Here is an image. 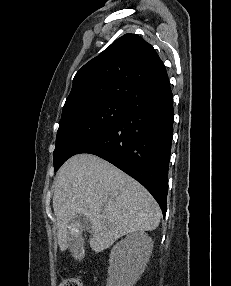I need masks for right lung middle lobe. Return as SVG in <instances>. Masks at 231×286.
Instances as JSON below:
<instances>
[{"label":"right lung middle lobe","instance_id":"obj_1","mask_svg":"<svg viewBox=\"0 0 231 286\" xmlns=\"http://www.w3.org/2000/svg\"><path fill=\"white\" fill-rule=\"evenodd\" d=\"M128 112L120 101H103L61 117L53 153L54 171Z\"/></svg>","mask_w":231,"mask_h":286}]
</instances>
